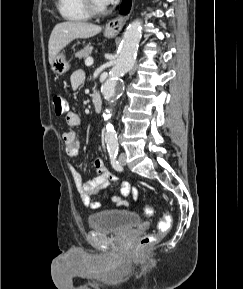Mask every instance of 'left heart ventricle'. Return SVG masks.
<instances>
[{
  "label": "left heart ventricle",
  "instance_id": "1",
  "mask_svg": "<svg viewBox=\"0 0 243 289\" xmlns=\"http://www.w3.org/2000/svg\"><path fill=\"white\" fill-rule=\"evenodd\" d=\"M94 2H95V4H96L97 6H104V5L100 2V0H94Z\"/></svg>",
  "mask_w": 243,
  "mask_h": 289
}]
</instances>
